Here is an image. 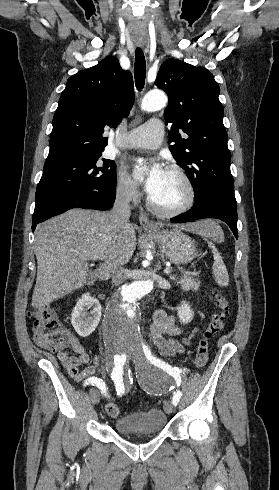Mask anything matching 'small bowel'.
Wrapping results in <instances>:
<instances>
[{
	"label": "small bowel",
	"mask_w": 279,
	"mask_h": 490,
	"mask_svg": "<svg viewBox=\"0 0 279 490\" xmlns=\"http://www.w3.org/2000/svg\"><path fill=\"white\" fill-rule=\"evenodd\" d=\"M150 335L159 351L166 356H172L182 351L188 343V339L183 335L182 328L177 324L176 318L160 308H157L153 313ZM71 348L75 355L60 351L57 353V359L76 382L88 386L92 383L100 366V357L95 355L93 363L85 366L90 361V356L78 338L74 336H72Z\"/></svg>",
	"instance_id": "1"
}]
</instances>
